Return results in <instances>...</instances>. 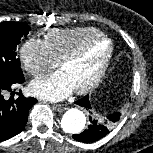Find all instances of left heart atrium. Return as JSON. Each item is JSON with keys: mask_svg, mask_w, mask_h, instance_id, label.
Listing matches in <instances>:
<instances>
[{"mask_svg": "<svg viewBox=\"0 0 153 153\" xmlns=\"http://www.w3.org/2000/svg\"><path fill=\"white\" fill-rule=\"evenodd\" d=\"M73 90L72 83L62 70L36 79L30 84L33 95L49 101L65 99Z\"/></svg>", "mask_w": 153, "mask_h": 153, "instance_id": "39dd6f15", "label": "left heart atrium"}]
</instances>
